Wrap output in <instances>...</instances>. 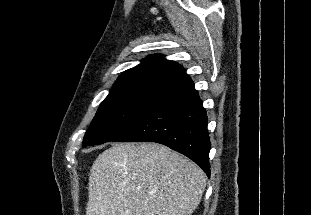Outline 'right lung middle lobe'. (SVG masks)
Instances as JSON below:
<instances>
[{"label":"right lung middle lobe","instance_id":"obj_1","mask_svg":"<svg viewBox=\"0 0 311 215\" xmlns=\"http://www.w3.org/2000/svg\"><path fill=\"white\" fill-rule=\"evenodd\" d=\"M169 85H130L113 88L101 103L83 146L113 141L145 116L162 98Z\"/></svg>","mask_w":311,"mask_h":215}]
</instances>
